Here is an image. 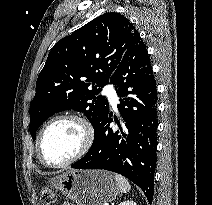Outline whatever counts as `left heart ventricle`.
<instances>
[{
    "label": "left heart ventricle",
    "instance_id": "b2bd125f",
    "mask_svg": "<svg viewBox=\"0 0 212 205\" xmlns=\"http://www.w3.org/2000/svg\"><path fill=\"white\" fill-rule=\"evenodd\" d=\"M83 142L81 127L74 121L54 123L46 131L42 141V153L50 163H61L72 157Z\"/></svg>",
    "mask_w": 212,
    "mask_h": 205
}]
</instances>
